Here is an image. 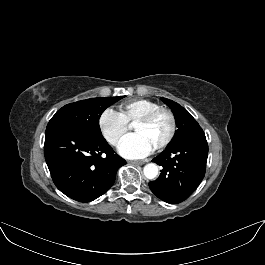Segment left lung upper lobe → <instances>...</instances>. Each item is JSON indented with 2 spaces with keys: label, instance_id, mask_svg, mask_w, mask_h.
I'll list each match as a JSON object with an SVG mask.
<instances>
[{
  "label": "left lung upper lobe",
  "instance_id": "1",
  "mask_svg": "<svg viewBox=\"0 0 265 265\" xmlns=\"http://www.w3.org/2000/svg\"><path fill=\"white\" fill-rule=\"evenodd\" d=\"M161 100L171 108L177 125V130L175 131V135L168 146L187 139L191 136H194L199 133H203L202 128L199 126L197 121L192 117V115L181 105L178 103L166 99L161 98Z\"/></svg>",
  "mask_w": 265,
  "mask_h": 265
}]
</instances>
